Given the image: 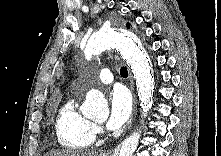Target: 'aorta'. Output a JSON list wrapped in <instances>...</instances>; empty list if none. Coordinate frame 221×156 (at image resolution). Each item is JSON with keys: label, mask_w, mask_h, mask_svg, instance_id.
I'll use <instances>...</instances> for the list:
<instances>
[{"label": "aorta", "mask_w": 221, "mask_h": 156, "mask_svg": "<svg viewBox=\"0 0 221 156\" xmlns=\"http://www.w3.org/2000/svg\"><path fill=\"white\" fill-rule=\"evenodd\" d=\"M111 48L118 50L131 68L136 81L142 118H145L152 106L154 92V75L150 58L140 40L133 33L113 27L94 33L87 41L84 54L89 60L92 55ZM81 112L87 118L106 119L109 115L108 103L102 92L97 89L89 90L81 106ZM140 136L141 129L130 134L114 156H133Z\"/></svg>", "instance_id": "762f6f07"}]
</instances>
